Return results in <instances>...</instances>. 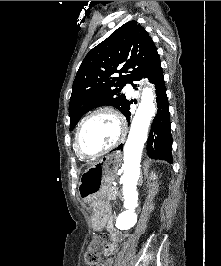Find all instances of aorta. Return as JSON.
I'll list each match as a JSON object with an SVG mask.
<instances>
[{
	"label": "aorta",
	"instance_id": "1",
	"mask_svg": "<svg viewBox=\"0 0 221 266\" xmlns=\"http://www.w3.org/2000/svg\"><path fill=\"white\" fill-rule=\"evenodd\" d=\"M154 97L152 88L143 89L141 102L132 120L128 139L124 145V163L122 166L124 173L121 182L126 211L118 217L117 225L120 229L130 228L136 222L134 210L138 200L137 183L140 176L141 155L147 140L150 122L156 113Z\"/></svg>",
	"mask_w": 221,
	"mask_h": 266
}]
</instances>
